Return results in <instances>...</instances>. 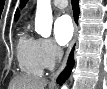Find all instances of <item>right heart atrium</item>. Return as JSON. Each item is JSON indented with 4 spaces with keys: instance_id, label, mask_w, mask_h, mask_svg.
Returning <instances> with one entry per match:
<instances>
[{
    "instance_id": "d8ad5b80",
    "label": "right heart atrium",
    "mask_w": 107,
    "mask_h": 89,
    "mask_svg": "<svg viewBox=\"0 0 107 89\" xmlns=\"http://www.w3.org/2000/svg\"><path fill=\"white\" fill-rule=\"evenodd\" d=\"M39 54L44 68H49L58 60L60 56V49L50 38H40Z\"/></svg>"
}]
</instances>
